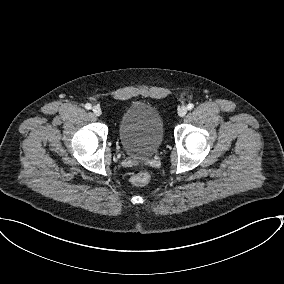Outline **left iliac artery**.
I'll return each mask as SVG.
<instances>
[{"mask_svg": "<svg viewBox=\"0 0 284 284\" xmlns=\"http://www.w3.org/2000/svg\"><path fill=\"white\" fill-rule=\"evenodd\" d=\"M194 108V105L192 104V103H189L188 105H187V109L188 110H192Z\"/></svg>", "mask_w": 284, "mask_h": 284, "instance_id": "obj_1", "label": "left iliac artery"}]
</instances>
